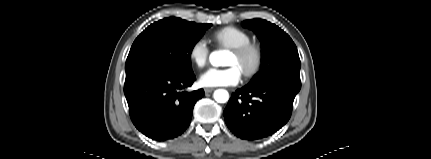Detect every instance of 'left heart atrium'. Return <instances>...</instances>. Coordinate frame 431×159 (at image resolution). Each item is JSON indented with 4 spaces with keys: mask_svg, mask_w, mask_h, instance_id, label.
<instances>
[{
    "mask_svg": "<svg viewBox=\"0 0 431 159\" xmlns=\"http://www.w3.org/2000/svg\"><path fill=\"white\" fill-rule=\"evenodd\" d=\"M242 71L235 65L227 68H210L200 76V83L205 87L237 85Z\"/></svg>",
    "mask_w": 431,
    "mask_h": 159,
    "instance_id": "39dd6f15",
    "label": "left heart atrium"
}]
</instances>
